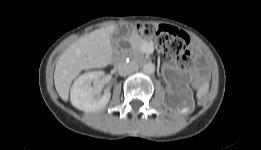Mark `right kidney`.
Segmentation results:
<instances>
[{"label": "right kidney", "mask_w": 261, "mask_h": 150, "mask_svg": "<svg viewBox=\"0 0 261 150\" xmlns=\"http://www.w3.org/2000/svg\"><path fill=\"white\" fill-rule=\"evenodd\" d=\"M101 72H88L79 76L71 88V103L74 107L85 112H96L103 109L109 102L111 93L109 91L100 95L101 87L99 81ZM94 82L95 85L91 86Z\"/></svg>", "instance_id": "1"}]
</instances>
